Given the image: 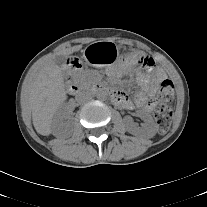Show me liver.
<instances>
[{
  "label": "liver",
  "instance_id": "6515ba94",
  "mask_svg": "<svg viewBox=\"0 0 207 207\" xmlns=\"http://www.w3.org/2000/svg\"><path fill=\"white\" fill-rule=\"evenodd\" d=\"M81 48L82 45L66 48L47 58L29 73L24 82L23 97L31 108L35 130L43 136L51 134L54 115L66 100L62 69L55 57L70 55Z\"/></svg>",
  "mask_w": 207,
  "mask_h": 207
}]
</instances>
